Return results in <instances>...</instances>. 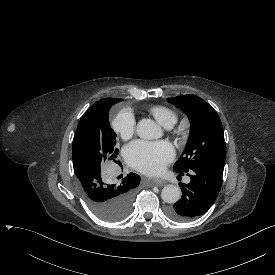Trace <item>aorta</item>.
Returning <instances> with one entry per match:
<instances>
[{
	"label": "aorta",
	"instance_id": "762f6f07",
	"mask_svg": "<svg viewBox=\"0 0 275 275\" xmlns=\"http://www.w3.org/2000/svg\"><path fill=\"white\" fill-rule=\"evenodd\" d=\"M137 134L145 140L159 139L163 135V129L150 119H142L137 125ZM162 199L167 203H175L181 197V190L174 184H167L161 191Z\"/></svg>",
	"mask_w": 275,
	"mask_h": 275
}]
</instances>
